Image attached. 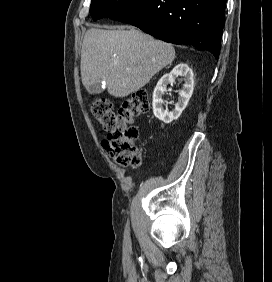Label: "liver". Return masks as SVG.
Masks as SVG:
<instances>
[{
    "label": "liver",
    "instance_id": "obj_1",
    "mask_svg": "<svg viewBox=\"0 0 272 282\" xmlns=\"http://www.w3.org/2000/svg\"><path fill=\"white\" fill-rule=\"evenodd\" d=\"M174 59L171 44L134 28H91L85 33L81 50L82 83L88 91L105 81L111 96L126 97L146 85Z\"/></svg>",
    "mask_w": 272,
    "mask_h": 282
}]
</instances>
